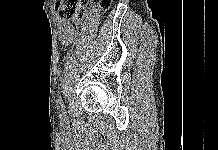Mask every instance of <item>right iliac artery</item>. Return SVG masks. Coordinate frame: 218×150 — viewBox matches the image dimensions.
I'll return each mask as SVG.
<instances>
[{"instance_id": "82829eb1", "label": "right iliac artery", "mask_w": 218, "mask_h": 150, "mask_svg": "<svg viewBox=\"0 0 218 150\" xmlns=\"http://www.w3.org/2000/svg\"><path fill=\"white\" fill-rule=\"evenodd\" d=\"M58 109H59L60 116L61 117L65 116V109L63 107L61 96H59V99H58Z\"/></svg>"}]
</instances>
